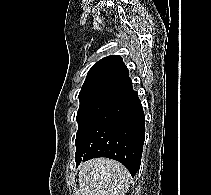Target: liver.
I'll list each match as a JSON object with an SVG mask.
<instances>
[{
	"label": "liver",
	"instance_id": "obj_1",
	"mask_svg": "<svg viewBox=\"0 0 211 195\" xmlns=\"http://www.w3.org/2000/svg\"><path fill=\"white\" fill-rule=\"evenodd\" d=\"M129 177V171L115 160H89L80 166V195H125L129 189Z\"/></svg>",
	"mask_w": 211,
	"mask_h": 195
}]
</instances>
